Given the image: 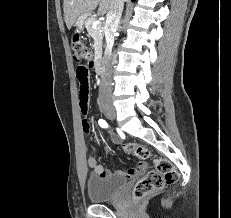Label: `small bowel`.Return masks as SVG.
I'll list each match as a JSON object with an SVG mask.
<instances>
[{"label": "small bowel", "mask_w": 231, "mask_h": 218, "mask_svg": "<svg viewBox=\"0 0 231 218\" xmlns=\"http://www.w3.org/2000/svg\"><path fill=\"white\" fill-rule=\"evenodd\" d=\"M93 67V60H87L86 63H81L80 66L76 67L75 73L77 75V79L79 81V105L81 112L86 114L89 106V96H90V87H89V74L90 68ZM84 131L89 132L90 126L88 121H84L83 123ZM113 142H118L119 138L112 134ZM88 166L93 169L94 173L100 176H108L111 172L108 169H105L102 165H100L97 159L93 156L89 157L87 160ZM147 169V164L144 161H140L138 165L134 168H131L127 171L118 170L117 174L119 176H125L128 178H132L138 176Z\"/></svg>", "instance_id": "c3829d8e"}]
</instances>
